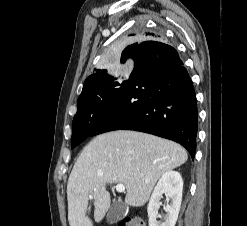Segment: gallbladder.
<instances>
[{
  "instance_id": "bac80fb5",
  "label": "gallbladder",
  "mask_w": 247,
  "mask_h": 226,
  "mask_svg": "<svg viewBox=\"0 0 247 226\" xmlns=\"http://www.w3.org/2000/svg\"><path fill=\"white\" fill-rule=\"evenodd\" d=\"M127 205L123 201L116 200L112 203L107 215V222L112 224L123 219L126 215Z\"/></svg>"
}]
</instances>
